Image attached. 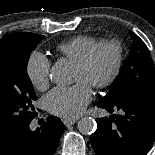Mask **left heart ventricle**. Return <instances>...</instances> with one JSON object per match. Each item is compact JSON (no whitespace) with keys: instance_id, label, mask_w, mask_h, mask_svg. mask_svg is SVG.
<instances>
[{"instance_id":"obj_1","label":"left heart ventricle","mask_w":155,"mask_h":155,"mask_svg":"<svg viewBox=\"0 0 155 155\" xmlns=\"http://www.w3.org/2000/svg\"><path fill=\"white\" fill-rule=\"evenodd\" d=\"M115 52L111 48L102 49L87 71L75 67V81H83L88 85L106 78L114 65Z\"/></svg>"}]
</instances>
